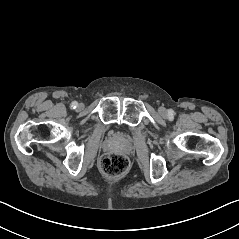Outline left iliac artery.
Listing matches in <instances>:
<instances>
[{"label": "left iliac artery", "mask_w": 239, "mask_h": 239, "mask_svg": "<svg viewBox=\"0 0 239 239\" xmlns=\"http://www.w3.org/2000/svg\"><path fill=\"white\" fill-rule=\"evenodd\" d=\"M173 113H174L173 110L168 111V114H169L170 117L173 115Z\"/></svg>", "instance_id": "44dca946"}]
</instances>
